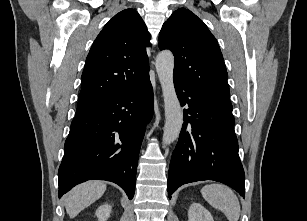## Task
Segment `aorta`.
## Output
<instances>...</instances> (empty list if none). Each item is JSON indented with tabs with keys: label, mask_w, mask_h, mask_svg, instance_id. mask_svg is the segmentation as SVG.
I'll use <instances>...</instances> for the list:
<instances>
[{
	"label": "aorta",
	"mask_w": 307,
	"mask_h": 221,
	"mask_svg": "<svg viewBox=\"0 0 307 221\" xmlns=\"http://www.w3.org/2000/svg\"><path fill=\"white\" fill-rule=\"evenodd\" d=\"M155 66L162 87L165 109L162 141L164 145H168L179 137L183 123V112L173 82L174 56L172 52L168 50L160 52L156 57Z\"/></svg>",
	"instance_id": "1"
}]
</instances>
